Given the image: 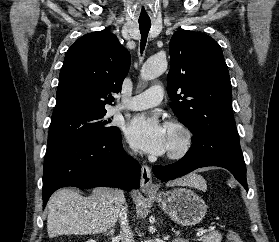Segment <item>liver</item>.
Here are the masks:
<instances>
[{
    "label": "liver",
    "mask_w": 279,
    "mask_h": 242,
    "mask_svg": "<svg viewBox=\"0 0 279 242\" xmlns=\"http://www.w3.org/2000/svg\"><path fill=\"white\" fill-rule=\"evenodd\" d=\"M168 185L207 189L204 179L195 174ZM124 203V194L118 189L99 187L88 197L73 189H60L48 202V236L103 233L115 225Z\"/></svg>",
    "instance_id": "6515ba94"
}]
</instances>
